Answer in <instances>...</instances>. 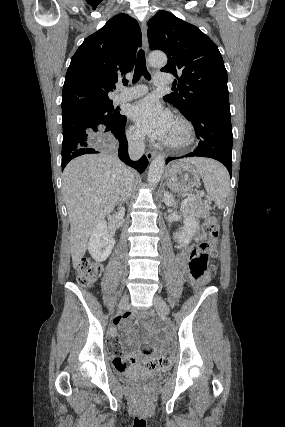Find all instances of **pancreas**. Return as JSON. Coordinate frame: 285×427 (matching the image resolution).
I'll return each instance as SVG.
<instances>
[{
    "instance_id": "pancreas-1",
    "label": "pancreas",
    "mask_w": 285,
    "mask_h": 427,
    "mask_svg": "<svg viewBox=\"0 0 285 427\" xmlns=\"http://www.w3.org/2000/svg\"><path fill=\"white\" fill-rule=\"evenodd\" d=\"M188 211L191 213H196L202 217L209 216V210L206 208L204 203L201 200H193L188 202Z\"/></svg>"
}]
</instances>
